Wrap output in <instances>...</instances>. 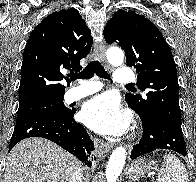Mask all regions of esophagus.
I'll use <instances>...</instances> for the list:
<instances>
[{"label": "esophagus", "mask_w": 196, "mask_h": 182, "mask_svg": "<svg viewBox=\"0 0 196 182\" xmlns=\"http://www.w3.org/2000/svg\"><path fill=\"white\" fill-rule=\"evenodd\" d=\"M94 51L96 56L102 62H105V46L101 42L94 43ZM112 148V143L99 141L96 143V151L99 156H103Z\"/></svg>", "instance_id": "1"}]
</instances>
